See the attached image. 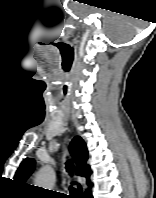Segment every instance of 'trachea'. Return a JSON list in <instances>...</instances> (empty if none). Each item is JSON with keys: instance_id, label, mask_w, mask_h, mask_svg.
<instances>
[{"instance_id": "trachea-1", "label": "trachea", "mask_w": 156, "mask_h": 198, "mask_svg": "<svg viewBox=\"0 0 156 198\" xmlns=\"http://www.w3.org/2000/svg\"><path fill=\"white\" fill-rule=\"evenodd\" d=\"M66 170L68 172H72L73 171V164L70 162H66ZM72 185H75V182L71 183ZM70 186L69 190L71 193V196L69 198H82V188L80 187V185H77V188H74L73 186Z\"/></svg>"}]
</instances>
